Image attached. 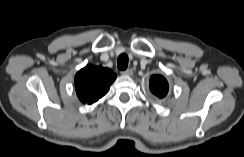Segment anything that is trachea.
<instances>
[{
  "instance_id": "1",
  "label": "trachea",
  "mask_w": 244,
  "mask_h": 157,
  "mask_svg": "<svg viewBox=\"0 0 244 157\" xmlns=\"http://www.w3.org/2000/svg\"><path fill=\"white\" fill-rule=\"evenodd\" d=\"M117 66L120 70H125L128 67V56L121 54L117 59Z\"/></svg>"
}]
</instances>
